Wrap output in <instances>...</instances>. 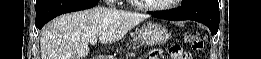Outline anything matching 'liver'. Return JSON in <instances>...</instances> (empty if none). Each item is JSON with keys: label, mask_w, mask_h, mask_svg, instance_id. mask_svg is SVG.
<instances>
[{"label": "liver", "mask_w": 261, "mask_h": 59, "mask_svg": "<svg viewBox=\"0 0 261 59\" xmlns=\"http://www.w3.org/2000/svg\"><path fill=\"white\" fill-rule=\"evenodd\" d=\"M146 16L101 6L61 15L46 24L40 37L42 59H83L89 41L102 44L121 40Z\"/></svg>", "instance_id": "liver-1"}]
</instances>
